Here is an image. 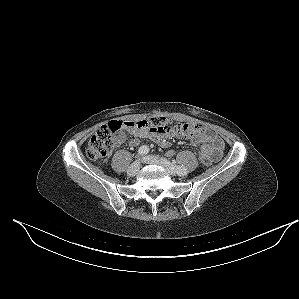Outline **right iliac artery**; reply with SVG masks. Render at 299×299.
I'll use <instances>...</instances> for the list:
<instances>
[{"mask_svg":"<svg viewBox=\"0 0 299 299\" xmlns=\"http://www.w3.org/2000/svg\"><path fill=\"white\" fill-rule=\"evenodd\" d=\"M148 152L149 148L146 145H143L138 149V154L141 156L146 155Z\"/></svg>","mask_w":299,"mask_h":299,"instance_id":"82829eb1","label":"right iliac artery"}]
</instances>
